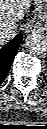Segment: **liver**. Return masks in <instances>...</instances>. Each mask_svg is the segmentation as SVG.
<instances>
[{
  "label": "liver",
  "instance_id": "1",
  "mask_svg": "<svg viewBox=\"0 0 47 129\" xmlns=\"http://www.w3.org/2000/svg\"><path fill=\"white\" fill-rule=\"evenodd\" d=\"M32 0H0V31L5 28L17 29V22L22 20L31 7ZM6 41L0 39V45Z\"/></svg>",
  "mask_w": 47,
  "mask_h": 129
}]
</instances>
